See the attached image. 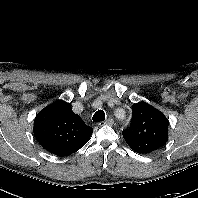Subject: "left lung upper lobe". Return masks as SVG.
Segmentation results:
<instances>
[{
	"instance_id": "5c2ea615",
	"label": "left lung upper lobe",
	"mask_w": 198,
	"mask_h": 198,
	"mask_svg": "<svg viewBox=\"0 0 198 198\" xmlns=\"http://www.w3.org/2000/svg\"><path fill=\"white\" fill-rule=\"evenodd\" d=\"M168 125V119L159 110L142 101L133 104L131 124L123 137L133 151L149 154L167 142Z\"/></svg>"
}]
</instances>
